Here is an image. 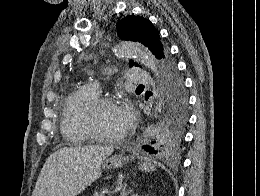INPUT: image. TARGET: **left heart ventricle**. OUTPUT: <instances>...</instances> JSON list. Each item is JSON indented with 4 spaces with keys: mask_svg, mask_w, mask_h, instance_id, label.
I'll use <instances>...</instances> for the list:
<instances>
[{
    "mask_svg": "<svg viewBox=\"0 0 260 196\" xmlns=\"http://www.w3.org/2000/svg\"><path fill=\"white\" fill-rule=\"evenodd\" d=\"M87 110L81 113L80 121L86 116ZM95 127L102 133L117 135L125 130L121 104H112L101 108L95 116Z\"/></svg>",
    "mask_w": 260,
    "mask_h": 196,
    "instance_id": "left-heart-ventricle-1",
    "label": "left heart ventricle"
}]
</instances>
